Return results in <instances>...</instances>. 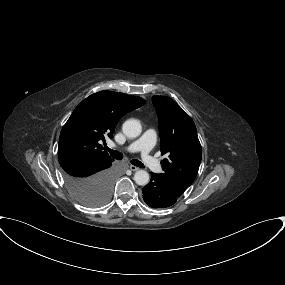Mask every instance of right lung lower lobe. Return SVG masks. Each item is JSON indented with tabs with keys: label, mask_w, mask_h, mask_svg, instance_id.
Instances as JSON below:
<instances>
[{
	"label": "right lung lower lobe",
	"mask_w": 285,
	"mask_h": 285,
	"mask_svg": "<svg viewBox=\"0 0 285 285\" xmlns=\"http://www.w3.org/2000/svg\"><path fill=\"white\" fill-rule=\"evenodd\" d=\"M113 161L108 157H94L63 166L65 181L67 184L105 183L111 185L115 177Z\"/></svg>",
	"instance_id": "1"
}]
</instances>
